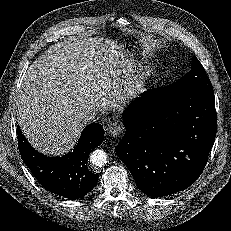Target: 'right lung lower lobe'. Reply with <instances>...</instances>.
I'll list each match as a JSON object with an SVG mask.
<instances>
[{
  "label": "right lung lower lobe",
  "mask_w": 231,
  "mask_h": 231,
  "mask_svg": "<svg viewBox=\"0 0 231 231\" xmlns=\"http://www.w3.org/2000/svg\"><path fill=\"white\" fill-rule=\"evenodd\" d=\"M18 147L24 163L48 191L69 199H79L91 191L98 175L88 169L90 152L104 139L100 124H89L72 152L63 157H47L27 142L18 127Z\"/></svg>",
  "instance_id": "obj_1"
}]
</instances>
